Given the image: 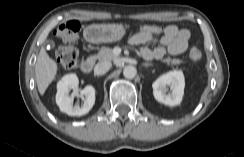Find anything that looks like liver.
I'll list each match as a JSON object with an SVG mask.
<instances>
[{
    "label": "liver",
    "mask_w": 244,
    "mask_h": 157,
    "mask_svg": "<svg viewBox=\"0 0 244 157\" xmlns=\"http://www.w3.org/2000/svg\"><path fill=\"white\" fill-rule=\"evenodd\" d=\"M57 69L56 62L47 54L44 48H41L35 65L36 82L41 95H44L46 89L54 80Z\"/></svg>",
    "instance_id": "1"
}]
</instances>
